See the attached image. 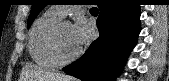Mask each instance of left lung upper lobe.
Here are the masks:
<instances>
[{
	"mask_svg": "<svg viewBox=\"0 0 169 81\" xmlns=\"http://www.w3.org/2000/svg\"><path fill=\"white\" fill-rule=\"evenodd\" d=\"M46 6V0H32V8L31 13L28 18L27 27L29 28L35 19V17L39 14V12Z\"/></svg>",
	"mask_w": 169,
	"mask_h": 81,
	"instance_id": "1",
	"label": "left lung upper lobe"
}]
</instances>
